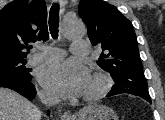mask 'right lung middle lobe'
Segmentation results:
<instances>
[{"instance_id":"right-lung-middle-lobe-1","label":"right lung middle lobe","mask_w":165,"mask_h":120,"mask_svg":"<svg viewBox=\"0 0 165 120\" xmlns=\"http://www.w3.org/2000/svg\"><path fill=\"white\" fill-rule=\"evenodd\" d=\"M25 59L0 61V77L31 81L30 69L25 67Z\"/></svg>"}]
</instances>
